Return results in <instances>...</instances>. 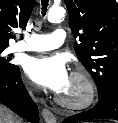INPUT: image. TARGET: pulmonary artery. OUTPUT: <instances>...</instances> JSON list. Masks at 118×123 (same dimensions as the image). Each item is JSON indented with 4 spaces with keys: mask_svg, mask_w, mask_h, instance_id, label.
<instances>
[{
    "mask_svg": "<svg viewBox=\"0 0 118 123\" xmlns=\"http://www.w3.org/2000/svg\"><path fill=\"white\" fill-rule=\"evenodd\" d=\"M66 39L63 28L55 29L51 34H29L24 40L18 42L14 51H48L61 46Z\"/></svg>",
    "mask_w": 118,
    "mask_h": 123,
    "instance_id": "e3ab8cb5",
    "label": "pulmonary artery"
}]
</instances>
